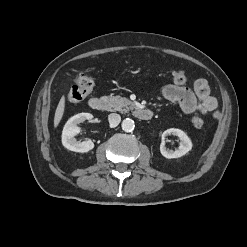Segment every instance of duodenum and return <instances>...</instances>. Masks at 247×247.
Returning a JSON list of instances; mask_svg holds the SVG:
<instances>
[{
    "instance_id": "obj_1",
    "label": "duodenum",
    "mask_w": 247,
    "mask_h": 247,
    "mask_svg": "<svg viewBox=\"0 0 247 247\" xmlns=\"http://www.w3.org/2000/svg\"><path fill=\"white\" fill-rule=\"evenodd\" d=\"M89 105L93 110L105 111L107 109V100L103 97H95L89 101ZM134 115L139 120L148 121L152 119L154 113L147 108H136L134 110Z\"/></svg>"
}]
</instances>
